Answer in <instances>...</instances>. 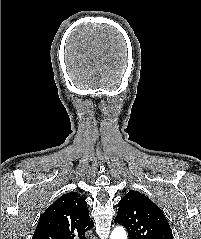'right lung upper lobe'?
Instances as JSON below:
<instances>
[{"label":"right lung upper lobe","instance_id":"right-lung-upper-lobe-1","mask_svg":"<svg viewBox=\"0 0 201 239\" xmlns=\"http://www.w3.org/2000/svg\"><path fill=\"white\" fill-rule=\"evenodd\" d=\"M93 226L85 199L69 192L41 215L32 239H87L85 232Z\"/></svg>","mask_w":201,"mask_h":239}]
</instances>
